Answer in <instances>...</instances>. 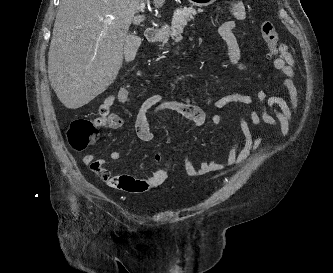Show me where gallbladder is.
Listing matches in <instances>:
<instances>
[{
	"mask_svg": "<svg viewBox=\"0 0 333 273\" xmlns=\"http://www.w3.org/2000/svg\"><path fill=\"white\" fill-rule=\"evenodd\" d=\"M140 45V38L136 35H130L124 44V56L126 62H132L135 58L137 49Z\"/></svg>",
	"mask_w": 333,
	"mask_h": 273,
	"instance_id": "obj_1",
	"label": "gallbladder"
}]
</instances>
